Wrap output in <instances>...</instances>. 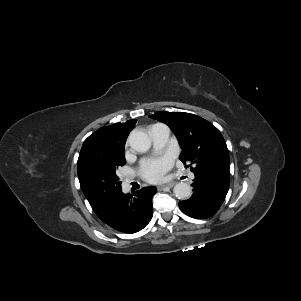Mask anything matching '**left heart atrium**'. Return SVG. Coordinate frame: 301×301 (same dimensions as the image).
<instances>
[{"label":"left heart atrium","mask_w":301,"mask_h":301,"mask_svg":"<svg viewBox=\"0 0 301 301\" xmlns=\"http://www.w3.org/2000/svg\"><path fill=\"white\" fill-rule=\"evenodd\" d=\"M173 165V158L169 155L157 158H145L139 167L140 176L147 182L161 181Z\"/></svg>","instance_id":"obj_1"}]
</instances>
